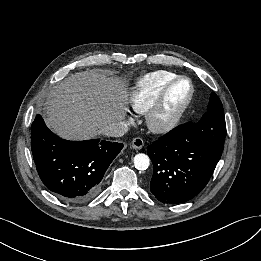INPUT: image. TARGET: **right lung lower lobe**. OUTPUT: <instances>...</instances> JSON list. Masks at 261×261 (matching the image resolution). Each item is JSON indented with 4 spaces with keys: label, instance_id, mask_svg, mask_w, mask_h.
Wrapping results in <instances>:
<instances>
[{
    "label": "right lung lower lobe",
    "instance_id": "right-lung-lower-lobe-1",
    "mask_svg": "<svg viewBox=\"0 0 261 261\" xmlns=\"http://www.w3.org/2000/svg\"><path fill=\"white\" fill-rule=\"evenodd\" d=\"M31 148L44 185L59 198L85 201L100 189L110 163L122 143L86 140L67 141L52 133L37 115L31 126Z\"/></svg>",
    "mask_w": 261,
    "mask_h": 261
}]
</instances>
